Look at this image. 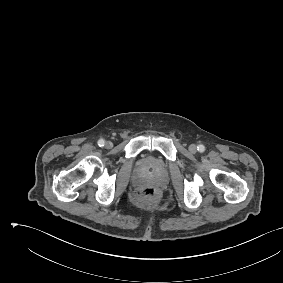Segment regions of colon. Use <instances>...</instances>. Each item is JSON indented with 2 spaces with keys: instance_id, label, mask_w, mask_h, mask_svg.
<instances>
[{
  "instance_id": "colon-1",
  "label": "colon",
  "mask_w": 283,
  "mask_h": 283,
  "mask_svg": "<svg viewBox=\"0 0 283 283\" xmlns=\"http://www.w3.org/2000/svg\"><path fill=\"white\" fill-rule=\"evenodd\" d=\"M134 197L142 203H150L159 197V192L153 187H146L136 190Z\"/></svg>"
}]
</instances>
